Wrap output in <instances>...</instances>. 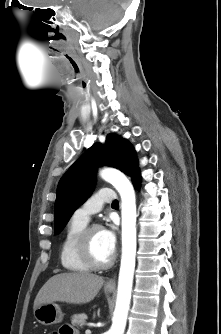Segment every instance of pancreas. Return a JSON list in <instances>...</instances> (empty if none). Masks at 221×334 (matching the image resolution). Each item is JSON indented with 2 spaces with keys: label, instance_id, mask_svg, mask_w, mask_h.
<instances>
[{
  "label": "pancreas",
  "instance_id": "obj_1",
  "mask_svg": "<svg viewBox=\"0 0 221 334\" xmlns=\"http://www.w3.org/2000/svg\"><path fill=\"white\" fill-rule=\"evenodd\" d=\"M87 319V315L82 313V314H78V315H73L71 318V323L75 326H80L82 327Z\"/></svg>",
  "mask_w": 221,
  "mask_h": 334
}]
</instances>
